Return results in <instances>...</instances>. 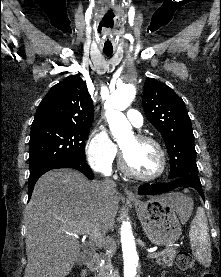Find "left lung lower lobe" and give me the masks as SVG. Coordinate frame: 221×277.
<instances>
[{"label":"left lung lower lobe","instance_id":"left-lung-lower-lobe-1","mask_svg":"<svg viewBox=\"0 0 221 277\" xmlns=\"http://www.w3.org/2000/svg\"><path fill=\"white\" fill-rule=\"evenodd\" d=\"M178 187L194 188L199 192L201 197L205 199L200 180H190L186 178H177L162 184H143L138 188V193L141 195H156L171 191Z\"/></svg>","mask_w":221,"mask_h":277}]
</instances>
